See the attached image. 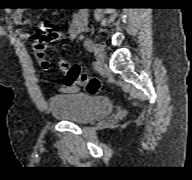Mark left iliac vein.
Returning <instances> with one entry per match:
<instances>
[{
    "mask_svg": "<svg viewBox=\"0 0 192 180\" xmlns=\"http://www.w3.org/2000/svg\"><path fill=\"white\" fill-rule=\"evenodd\" d=\"M93 50L98 66L103 67L106 56L103 45H101L100 43H95L93 46Z\"/></svg>",
    "mask_w": 192,
    "mask_h": 180,
    "instance_id": "1",
    "label": "left iliac vein"
}]
</instances>
